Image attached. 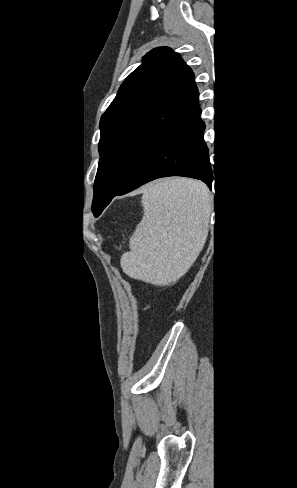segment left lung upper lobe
<instances>
[{
	"instance_id": "5c2ea615",
	"label": "left lung upper lobe",
	"mask_w": 297,
	"mask_h": 488,
	"mask_svg": "<svg viewBox=\"0 0 297 488\" xmlns=\"http://www.w3.org/2000/svg\"><path fill=\"white\" fill-rule=\"evenodd\" d=\"M198 97L194 74L179 54L159 47L143 57L100 120L94 216L152 153L201 114Z\"/></svg>"
}]
</instances>
